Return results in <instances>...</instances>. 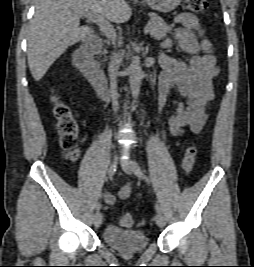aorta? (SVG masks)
<instances>
[{
	"instance_id": "obj_1",
	"label": "aorta",
	"mask_w": 254,
	"mask_h": 267,
	"mask_svg": "<svg viewBox=\"0 0 254 267\" xmlns=\"http://www.w3.org/2000/svg\"><path fill=\"white\" fill-rule=\"evenodd\" d=\"M129 83L131 88V93L134 98V102L137 101L142 79V68L140 66V60L137 56H133L131 59V64L129 66Z\"/></svg>"
}]
</instances>
